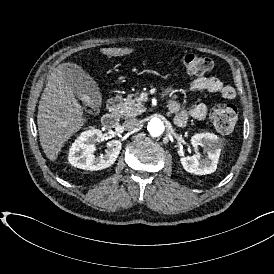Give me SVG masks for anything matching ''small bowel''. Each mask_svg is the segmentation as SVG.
I'll use <instances>...</instances> for the list:
<instances>
[{"label":"small bowel","mask_w":274,"mask_h":274,"mask_svg":"<svg viewBox=\"0 0 274 274\" xmlns=\"http://www.w3.org/2000/svg\"><path fill=\"white\" fill-rule=\"evenodd\" d=\"M201 91L218 93L225 100H233L236 97L235 88L217 77L195 78L189 86V92L195 94ZM167 107L174 114V122L179 127L184 126L189 118L204 120L208 112L207 105L204 103H197L189 111H186L181 108L177 101L170 100Z\"/></svg>","instance_id":"c3829d8e"}]
</instances>
